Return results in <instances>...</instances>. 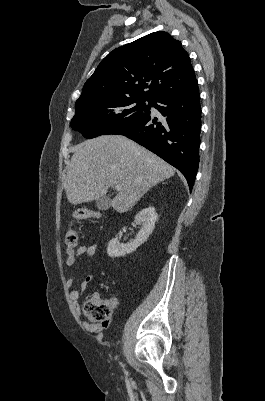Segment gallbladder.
I'll list each match as a JSON object with an SVG mask.
<instances>
[{"label": "gallbladder", "instance_id": "obj_1", "mask_svg": "<svg viewBox=\"0 0 265 401\" xmlns=\"http://www.w3.org/2000/svg\"><path fill=\"white\" fill-rule=\"evenodd\" d=\"M96 207L97 209H100V211H107V209H110L111 207L110 196H101V198H97Z\"/></svg>", "mask_w": 265, "mask_h": 401}]
</instances>
